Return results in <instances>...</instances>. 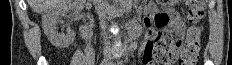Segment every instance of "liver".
<instances>
[{
  "label": "liver",
  "mask_w": 232,
  "mask_h": 65,
  "mask_svg": "<svg viewBox=\"0 0 232 65\" xmlns=\"http://www.w3.org/2000/svg\"><path fill=\"white\" fill-rule=\"evenodd\" d=\"M58 2H60V0H28V4L36 13H43Z\"/></svg>",
  "instance_id": "liver-1"
}]
</instances>
